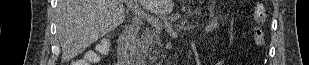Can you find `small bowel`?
Listing matches in <instances>:
<instances>
[{
	"instance_id": "c3829d8e",
	"label": "small bowel",
	"mask_w": 309,
	"mask_h": 65,
	"mask_svg": "<svg viewBox=\"0 0 309 65\" xmlns=\"http://www.w3.org/2000/svg\"><path fill=\"white\" fill-rule=\"evenodd\" d=\"M209 28L210 29H215L216 28V25L215 24H211L210 26H209ZM98 61V60H97ZM97 61H92V60H88V61H86L85 63H89V64H91V63H94V62H97Z\"/></svg>"
}]
</instances>
